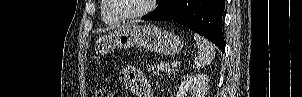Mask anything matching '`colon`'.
Segmentation results:
<instances>
[{
  "label": "colon",
  "instance_id": "colon-1",
  "mask_svg": "<svg viewBox=\"0 0 302 97\" xmlns=\"http://www.w3.org/2000/svg\"><path fill=\"white\" fill-rule=\"evenodd\" d=\"M97 97H111V94L108 90H100L97 94Z\"/></svg>",
  "mask_w": 302,
  "mask_h": 97
}]
</instances>
